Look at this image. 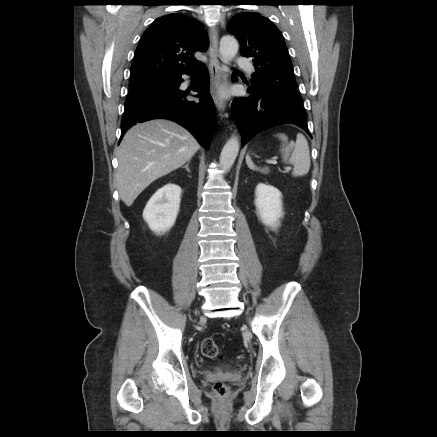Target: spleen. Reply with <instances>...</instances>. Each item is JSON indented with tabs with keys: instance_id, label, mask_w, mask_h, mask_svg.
<instances>
[{
	"instance_id": "spleen-1",
	"label": "spleen",
	"mask_w": 437,
	"mask_h": 437,
	"mask_svg": "<svg viewBox=\"0 0 437 437\" xmlns=\"http://www.w3.org/2000/svg\"><path fill=\"white\" fill-rule=\"evenodd\" d=\"M282 141L281 152L283 161L294 166L292 175L295 177L304 176L309 172L311 160L310 151L307 139L301 133L297 134L296 142H288V137L285 134L278 133L276 135ZM246 164L251 170L268 173V168H258L255 166L251 158L246 156Z\"/></svg>"
}]
</instances>
